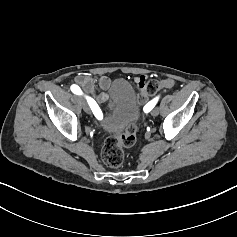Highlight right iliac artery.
Here are the masks:
<instances>
[{"mask_svg":"<svg viewBox=\"0 0 237 237\" xmlns=\"http://www.w3.org/2000/svg\"><path fill=\"white\" fill-rule=\"evenodd\" d=\"M71 91L76 95H82L83 94L80 87L78 85H75V84H73L71 86ZM86 99L88 101V104H89L90 108H92V107L97 108L98 107L97 103L92 98L86 96Z\"/></svg>","mask_w":237,"mask_h":237,"instance_id":"obj_1","label":"right iliac artery"}]
</instances>
